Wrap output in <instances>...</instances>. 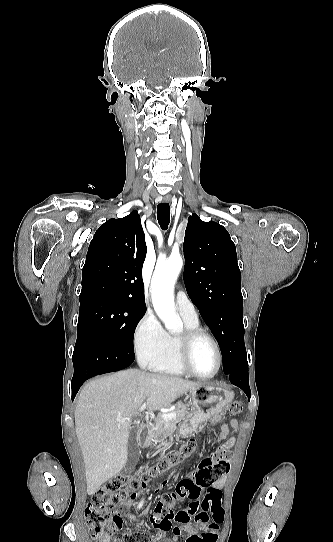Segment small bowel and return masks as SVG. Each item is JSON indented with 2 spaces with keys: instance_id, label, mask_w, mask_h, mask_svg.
<instances>
[{
  "instance_id": "1",
  "label": "small bowel",
  "mask_w": 333,
  "mask_h": 542,
  "mask_svg": "<svg viewBox=\"0 0 333 542\" xmlns=\"http://www.w3.org/2000/svg\"><path fill=\"white\" fill-rule=\"evenodd\" d=\"M212 424H215V423H218L219 421H211ZM230 429H232L233 431H238L239 430V423L237 422V420L235 419H231L229 421V423H226V424H223L221 426V431L220 433L215 436V437H210V440L213 442V443H220L221 446H220V450L223 454H221L220 452L216 455V460L217 461H231L232 460V455L231 454H225L227 453L234 445L235 443V438L233 437H229V432H230ZM211 457L214 455L212 452L209 454ZM162 479L160 477H158L156 479V477H151V479H147L146 481H142L141 485H140V488L142 490H147L149 488V486L151 485H158V483L161 481ZM225 482H226V478L225 477H222V478H219L217 479L214 483H213V487L216 488V489H221L224 485H225ZM167 484V482H162L160 484V486H165ZM154 492L156 494H159L161 492V489L159 487H156L154 489ZM162 497L164 499H167L169 497V494L167 492H164L162 494ZM142 502L141 500V497L139 494H135L133 495L131 498L127 499V500H124L122 502H120V506L121 507H136L138 504H140ZM149 511V508L148 507H145L143 509H136L135 511H133L132 513H130L128 515V519L131 523L135 522L136 519H138L139 517H141L142 515H145L146 513H148ZM185 511V510H183ZM182 525V529L183 531L186 533V534H192V533H195L196 532V527L199 528L201 525L199 523H197L195 526L193 524H191L190 522L189 523H186V524H181ZM117 527L119 529H122L124 527V524L122 522H119L117 524ZM178 537L177 535L174 534L173 538H172V542H177L178 541Z\"/></svg>"
}]
</instances>
